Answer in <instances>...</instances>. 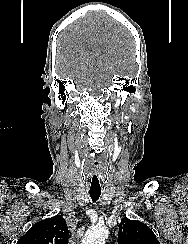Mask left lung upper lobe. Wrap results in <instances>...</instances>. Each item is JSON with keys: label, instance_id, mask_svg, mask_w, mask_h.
Listing matches in <instances>:
<instances>
[{"label": "left lung upper lobe", "instance_id": "1", "mask_svg": "<svg viewBox=\"0 0 188 244\" xmlns=\"http://www.w3.org/2000/svg\"><path fill=\"white\" fill-rule=\"evenodd\" d=\"M119 244H160L153 231L140 221L122 218L118 233Z\"/></svg>", "mask_w": 188, "mask_h": 244}]
</instances>
